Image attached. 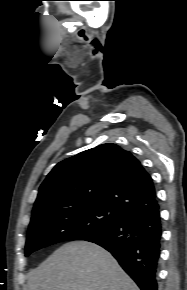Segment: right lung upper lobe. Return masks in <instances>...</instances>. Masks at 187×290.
<instances>
[{
	"mask_svg": "<svg viewBox=\"0 0 187 290\" xmlns=\"http://www.w3.org/2000/svg\"><path fill=\"white\" fill-rule=\"evenodd\" d=\"M91 205L109 206L123 216L159 208L150 175L129 151L112 143L58 163L39 188L31 223Z\"/></svg>",
	"mask_w": 187,
	"mask_h": 290,
	"instance_id": "obj_1",
	"label": "right lung upper lobe"
}]
</instances>
